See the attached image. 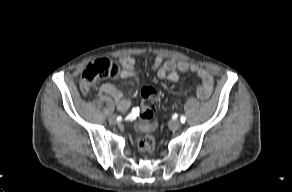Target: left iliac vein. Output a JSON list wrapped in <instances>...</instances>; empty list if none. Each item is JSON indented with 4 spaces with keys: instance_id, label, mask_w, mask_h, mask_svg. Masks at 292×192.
I'll return each mask as SVG.
<instances>
[{
    "instance_id": "4c4485c4",
    "label": "left iliac vein",
    "mask_w": 292,
    "mask_h": 192,
    "mask_svg": "<svg viewBox=\"0 0 292 192\" xmlns=\"http://www.w3.org/2000/svg\"><path fill=\"white\" fill-rule=\"evenodd\" d=\"M169 126H170L171 129L177 130V129H179L181 127V122L178 121V120H171L169 122Z\"/></svg>"
}]
</instances>
